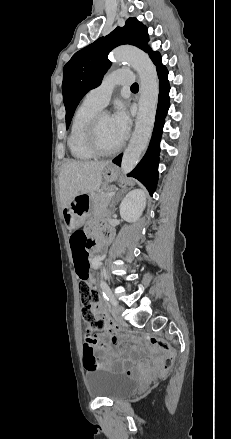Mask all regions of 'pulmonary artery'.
<instances>
[{
  "instance_id": "1",
  "label": "pulmonary artery",
  "mask_w": 231,
  "mask_h": 439,
  "mask_svg": "<svg viewBox=\"0 0 231 439\" xmlns=\"http://www.w3.org/2000/svg\"><path fill=\"white\" fill-rule=\"evenodd\" d=\"M133 78V73L128 69L115 70L104 78L101 85L91 89L85 99L103 108L109 102L115 86L129 85L133 82Z\"/></svg>"
}]
</instances>
